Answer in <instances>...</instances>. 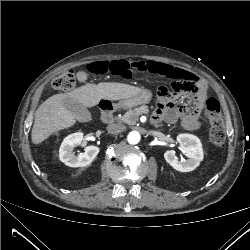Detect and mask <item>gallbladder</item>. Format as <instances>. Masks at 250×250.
<instances>
[{"label": "gallbladder", "instance_id": "gallbladder-1", "mask_svg": "<svg viewBox=\"0 0 250 250\" xmlns=\"http://www.w3.org/2000/svg\"><path fill=\"white\" fill-rule=\"evenodd\" d=\"M64 107L80 122H86L91 119V114L88 109L81 103L66 98L63 100Z\"/></svg>", "mask_w": 250, "mask_h": 250}]
</instances>
